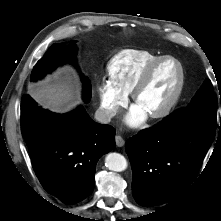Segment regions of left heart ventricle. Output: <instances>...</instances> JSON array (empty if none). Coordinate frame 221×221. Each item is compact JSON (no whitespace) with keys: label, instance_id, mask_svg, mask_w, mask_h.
Listing matches in <instances>:
<instances>
[{"label":"left heart ventricle","instance_id":"left-heart-ventricle-1","mask_svg":"<svg viewBox=\"0 0 221 221\" xmlns=\"http://www.w3.org/2000/svg\"><path fill=\"white\" fill-rule=\"evenodd\" d=\"M179 79V69L169 60L160 64L154 71L148 85L140 93L136 105L147 114L163 107L172 97Z\"/></svg>","mask_w":221,"mask_h":221}]
</instances>
